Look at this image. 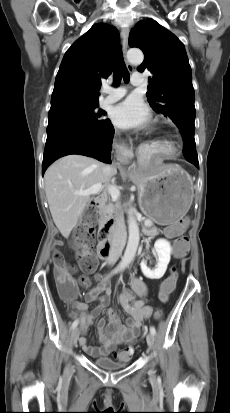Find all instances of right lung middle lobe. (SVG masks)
I'll return each instance as SVG.
<instances>
[{
  "label": "right lung middle lobe",
  "mask_w": 230,
  "mask_h": 413,
  "mask_svg": "<svg viewBox=\"0 0 230 413\" xmlns=\"http://www.w3.org/2000/svg\"><path fill=\"white\" fill-rule=\"evenodd\" d=\"M94 105H64L50 109L47 137L61 131H93L108 124L106 112Z\"/></svg>",
  "instance_id": "1"
}]
</instances>
